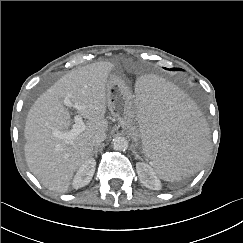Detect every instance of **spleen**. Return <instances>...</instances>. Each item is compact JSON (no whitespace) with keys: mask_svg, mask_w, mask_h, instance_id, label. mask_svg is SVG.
<instances>
[{"mask_svg":"<svg viewBox=\"0 0 243 243\" xmlns=\"http://www.w3.org/2000/svg\"><path fill=\"white\" fill-rule=\"evenodd\" d=\"M136 148L164 181L196 172L208 146V129L189 95L152 72L134 84Z\"/></svg>","mask_w":243,"mask_h":243,"instance_id":"1","label":"spleen"}]
</instances>
